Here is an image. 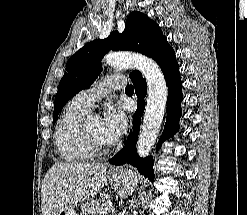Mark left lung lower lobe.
Segmentation results:
<instances>
[{"mask_svg": "<svg viewBox=\"0 0 247 215\" xmlns=\"http://www.w3.org/2000/svg\"><path fill=\"white\" fill-rule=\"evenodd\" d=\"M153 59L161 67L168 86L167 119L164 131L159 140L158 146H160L163 141L173 136V134L179 129L183 95L181 91L182 83L179 73V65L176 61L174 50L167 41L160 46L154 54ZM130 78L135 86V91L139 98L137 110L133 116V130L128 136L126 146L119 151L109 161V163L113 165H122L125 163L131 164L136 167L139 173L144 177L154 181L153 158L151 156L140 158L135 147L140 128L141 116L145 109V101L142 99L146 96L147 84L139 71Z\"/></svg>", "mask_w": 247, "mask_h": 215, "instance_id": "1", "label": "left lung lower lobe"}]
</instances>
